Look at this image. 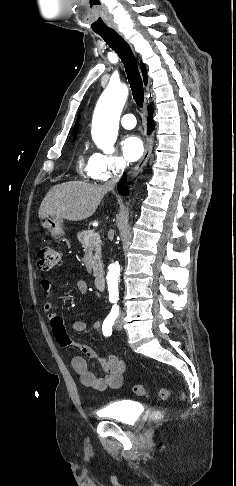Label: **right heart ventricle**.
<instances>
[{"label": "right heart ventricle", "mask_w": 236, "mask_h": 486, "mask_svg": "<svg viewBox=\"0 0 236 486\" xmlns=\"http://www.w3.org/2000/svg\"><path fill=\"white\" fill-rule=\"evenodd\" d=\"M90 158L87 160L85 159V155L83 152H80L77 159V168L81 174L84 176H90Z\"/></svg>", "instance_id": "obj_1"}]
</instances>
